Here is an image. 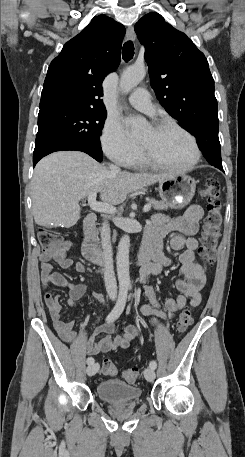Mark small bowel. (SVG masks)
I'll return each instance as SVG.
<instances>
[{
	"mask_svg": "<svg viewBox=\"0 0 245 457\" xmlns=\"http://www.w3.org/2000/svg\"><path fill=\"white\" fill-rule=\"evenodd\" d=\"M203 217L204 209L199 205H192L185 213L175 218H171L163 213H156L150 224L146 227L143 247L152 250L153 262L141 270V283L145 282L148 275H159L164 267L171 265V259L165 256L162 251L163 239L169 233L177 232L171 238V248L174 250H183L179 256L182 264V277L176 282V287L180 295L176 298L166 299L163 307L155 295L153 288L148 285L144 286V293L149 303L141 307V312L149 316L153 324L160 319H171L175 312L185 307L188 299L192 307L198 306L201 301L200 292L206 282L207 268L196 261L195 251L198 247V241L195 235L199 232ZM71 247L72 242L66 241L54 256L42 254L40 257V273L44 299L56 332L63 341L89 355L107 353L118 348H128L130 342L140 335L139 330L132 325L124 327L120 333H117L115 320L111 322L106 321V323L95 330L93 335L88 336L84 328L80 331H75L72 321H64L62 319L59 299L54 297L49 289L52 286L68 288L67 303L69 306H74L87 290L86 285L70 283L63 275L53 271L50 263L51 260H54L62 268L73 267L79 273L85 272L86 268L83 263H74L68 256ZM92 296L100 303H107L106 298L101 293L93 292ZM100 334H103V337L96 341L95 337Z\"/></svg>",
	"mask_w": 245,
	"mask_h": 457,
	"instance_id": "c3829d8e",
	"label": "small bowel"
}]
</instances>
